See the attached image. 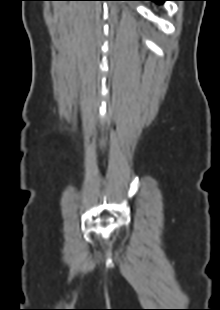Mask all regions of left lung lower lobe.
Listing matches in <instances>:
<instances>
[{
  "mask_svg": "<svg viewBox=\"0 0 220 310\" xmlns=\"http://www.w3.org/2000/svg\"><path fill=\"white\" fill-rule=\"evenodd\" d=\"M146 1H153V2H156L158 4H161V3L165 2V1H171V0H146Z\"/></svg>",
  "mask_w": 220,
  "mask_h": 310,
  "instance_id": "obj_1",
  "label": "left lung lower lobe"
}]
</instances>
